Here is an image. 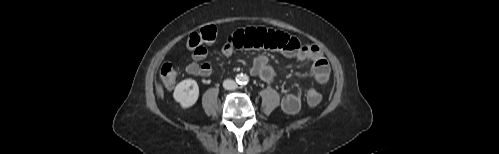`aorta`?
Instances as JSON below:
<instances>
[{"label":"aorta","mask_w":499,"mask_h":154,"mask_svg":"<svg viewBox=\"0 0 499 154\" xmlns=\"http://www.w3.org/2000/svg\"><path fill=\"white\" fill-rule=\"evenodd\" d=\"M247 80H248V77H247V76H245V75H242V76H240V77H239V82H240L241 84L246 83V82H247Z\"/></svg>","instance_id":"aorta-1"}]
</instances>
